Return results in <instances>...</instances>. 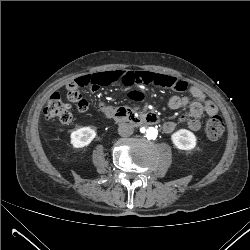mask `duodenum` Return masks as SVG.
<instances>
[{
	"label": "duodenum",
	"instance_id": "obj_1",
	"mask_svg": "<svg viewBox=\"0 0 250 250\" xmlns=\"http://www.w3.org/2000/svg\"><path fill=\"white\" fill-rule=\"evenodd\" d=\"M125 115V110L123 108H116L109 105L104 107V116L107 121H113L115 118ZM146 123L148 125H157L159 123V118L155 114H147Z\"/></svg>",
	"mask_w": 250,
	"mask_h": 250
}]
</instances>
